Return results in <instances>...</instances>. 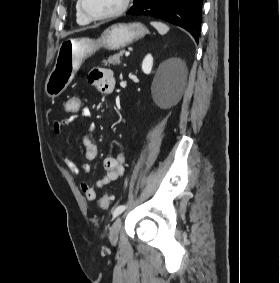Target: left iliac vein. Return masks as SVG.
<instances>
[{
    "label": "left iliac vein",
    "instance_id": "obj_1",
    "mask_svg": "<svg viewBox=\"0 0 280 283\" xmlns=\"http://www.w3.org/2000/svg\"><path fill=\"white\" fill-rule=\"evenodd\" d=\"M122 227V219L121 217H118L112 224L110 233H109V239L111 243H116L118 240V235Z\"/></svg>",
    "mask_w": 280,
    "mask_h": 283
}]
</instances>
